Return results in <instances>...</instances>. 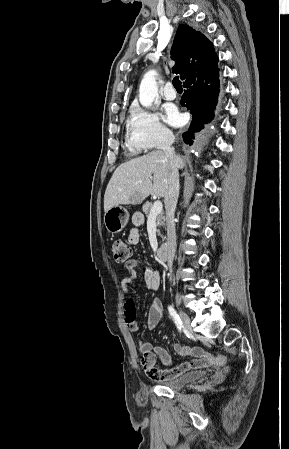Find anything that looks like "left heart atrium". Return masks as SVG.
Returning <instances> with one entry per match:
<instances>
[{
    "label": "left heart atrium",
    "instance_id": "left-heart-atrium-1",
    "mask_svg": "<svg viewBox=\"0 0 289 449\" xmlns=\"http://www.w3.org/2000/svg\"><path fill=\"white\" fill-rule=\"evenodd\" d=\"M164 112V119L168 124L172 126H180L183 123L182 115L176 106L168 104L164 107Z\"/></svg>",
    "mask_w": 289,
    "mask_h": 449
}]
</instances>
